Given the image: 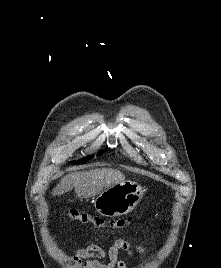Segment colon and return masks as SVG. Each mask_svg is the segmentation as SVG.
I'll return each mask as SVG.
<instances>
[{"label": "colon", "instance_id": "colon-1", "mask_svg": "<svg viewBox=\"0 0 221 268\" xmlns=\"http://www.w3.org/2000/svg\"><path fill=\"white\" fill-rule=\"evenodd\" d=\"M65 214L73 221L81 222L83 224H91L100 229H123L130 226L133 222L132 217L105 221L101 217L89 215L87 213L81 212L78 209H70L66 211Z\"/></svg>", "mask_w": 221, "mask_h": 268}]
</instances>
